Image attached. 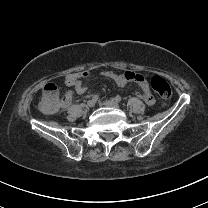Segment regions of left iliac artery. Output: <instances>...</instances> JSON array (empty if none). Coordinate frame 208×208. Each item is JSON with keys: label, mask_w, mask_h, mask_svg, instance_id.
<instances>
[{"label": "left iliac artery", "mask_w": 208, "mask_h": 208, "mask_svg": "<svg viewBox=\"0 0 208 208\" xmlns=\"http://www.w3.org/2000/svg\"><path fill=\"white\" fill-rule=\"evenodd\" d=\"M114 99H115V101H117V102H120V101L122 100V98H121L119 95H117Z\"/></svg>", "instance_id": "1"}]
</instances>
